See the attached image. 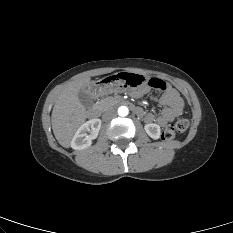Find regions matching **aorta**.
Returning a JSON list of instances; mask_svg holds the SVG:
<instances>
[{
  "label": "aorta",
  "instance_id": "1",
  "mask_svg": "<svg viewBox=\"0 0 233 233\" xmlns=\"http://www.w3.org/2000/svg\"><path fill=\"white\" fill-rule=\"evenodd\" d=\"M129 113V110L126 106H120L118 108V115L121 116V117H125L127 116Z\"/></svg>",
  "mask_w": 233,
  "mask_h": 233
}]
</instances>
